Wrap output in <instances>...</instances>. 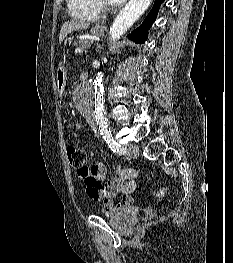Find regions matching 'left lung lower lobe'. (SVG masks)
I'll return each mask as SVG.
<instances>
[{
	"label": "left lung lower lobe",
	"mask_w": 233,
	"mask_h": 263,
	"mask_svg": "<svg viewBox=\"0 0 233 263\" xmlns=\"http://www.w3.org/2000/svg\"><path fill=\"white\" fill-rule=\"evenodd\" d=\"M163 1L164 0H156L155 1L152 10L148 14L146 19L142 23V25L139 28H137L136 30H134L131 34H129V38L131 40H133L136 43H144L145 42V40L147 39V34H148L147 30H149L151 24L155 21L157 12H158L159 7Z\"/></svg>",
	"instance_id": "0a47b994"
}]
</instances>
